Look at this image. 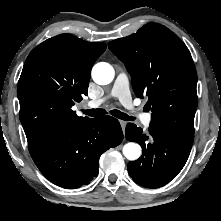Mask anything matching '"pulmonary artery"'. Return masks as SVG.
Instances as JSON below:
<instances>
[{"instance_id":"e3ab8cb5","label":"pulmonary artery","mask_w":221,"mask_h":221,"mask_svg":"<svg viewBox=\"0 0 221 221\" xmlns=\"http://www.w3.org/2000/svg\"><path fill=\"white\" fill-rule=\"evenodd\" d=\"M110 96L117 98L124 107L131 110H135L129 90L128 77L125 73H120L117 76L114 85L112 87V90L110 92ZM104 101L105 98L91 100L88 102L87 106L89 108H97ZM139 117L143 125L148 126L151 123L152 119L151 114L149 113L139 114Z\"/></svg>"}]
</instances>
